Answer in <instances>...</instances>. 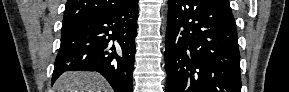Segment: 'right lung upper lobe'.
<instances>
[{
	"label": "right lung upper lobe",
	"instance_id": "1",
	"mask_svg": "<svg viewBox=\"0 0 289 92\" xmlns=\"http://www.w3.org/2000/svg\"><path fill=\"white\" fill-rule=\"evenodd\" d=\"M133 0H68L62 26L68 27L76 22L124 7Z\"/></svg>",
	"mask_w": 289,
	"mask_h": 92
}]
</instances>
